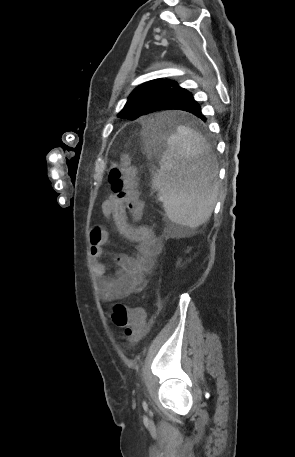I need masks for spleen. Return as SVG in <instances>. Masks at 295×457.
I'll return each mask as SVG.
<instances>
[{
  "label": "spleen",
  "instance_id": "3e777b00",
  "mask_svg": "<svg viewBox=\"0 0 295 457\" xmlns=\"http://www.w3.org/2000/svg\"><path fill=\"white\" fill-rule=\"evenodd\" d=\"M167 145L160 169L153 173L152 189L158 191L172 222L196 228L210 218L219 191L215 171L204 160L205 139L192 129L179 126Z\"/></svg>",
  "mask_w": 295,
  "mask_h": 457
}]
</instances>
